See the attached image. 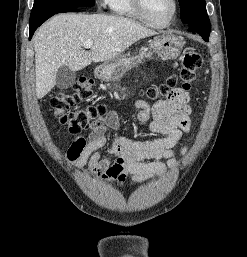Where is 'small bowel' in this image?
<instances>
[{"mask_svg":"<svg viewBox=\"0 0 247 257\" xmlns=\"http://www.w3.org/2000/svg\"><path fill=\"white\" fill-rule=\"evenodd\" d=\"M137 118L152 132L162 137L137 141L115 135L111 146L103 154L108 143V130H117L120 119L115 111H108L90 127L88 136H76L67 150V158L76 167L88 166L104 180L123 183L127 179L144 182L161 176L167 169L177 166L173 149L184 133L191 129L189 94L179 88L167 92L166 98L150 104L141 99L135 102ZM187 147L181 149L185 155Z\"/></svg>","mask_w":247,"mask_h":257,"instance_id":"obj_1","label":"small bowel"}]
</instances>
